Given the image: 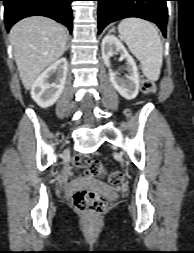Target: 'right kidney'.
<instances>
[{
	"instance_id": "ca27d5eb",
	"label": "right kidney",
	"mask_w": 194,
	"mask_h": 253,
	"mask_svg": "<svg viewBox=\"0 0 194 253\" xmlns=\"http://www.w3.org/2000/svg\"><path fill=\"white\" fill-rule=\"evenodd\" d=\"M67 71V59L61 58L35 80L31 97L40 107L48 108L58 100L65 86Z\"/></svg>"
}]
</instances>
